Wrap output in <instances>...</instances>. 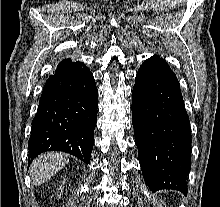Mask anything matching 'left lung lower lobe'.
<instances>
[{
  "label": "left lung lower lobe",
  "mask_w": 220,
  "mask_h": 207,
  "mask_svg": "<svg viewBox=\"0 0 220 207\" xmlns=\"http://www.w3.org/2000/svg\"><path fill=\"white\" fill-rule=\"evenodd\" d=\"M132 123L145 183L187 194L191 129L176 75L159 56L147 59L132 91Z\"/></svg>",
  "instance_id": "left-lung-lower-lobe-1"
}]
</instances>
